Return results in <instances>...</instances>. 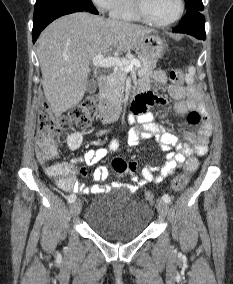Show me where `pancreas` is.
<instances>
[{"instance_id":"cf45deb5","label":"pancreas","mask_w":233,"mask_h":284,"mask_svg":"<svg viewBox=\"0 0 233 284\" xmlns=\"http://www.w3.org/2000/svg\"><path fill=\"white\" fill-rule=\"evenodd\" d=\"M125 60L137 59L140 61L141 66L136 70L140 75H149L152 73L156 66V62L150 61L143 57L141 54L137 56H130L124 58ZM127 73L120 68H116L109 76L107 86L105 87L102 97L108 102L109 106L114 108L122 104L125 91V81Z\"/></svg>"}]
</instances>
